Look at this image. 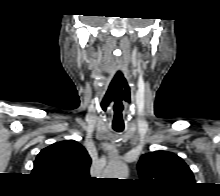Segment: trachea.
<instances>
[{
  "mask_svg": "<svg viewBox=\"0 0 220 196\" xmlns=\"http://www.w3.org/2000/svg\"><path fill=\"white\" fill-rule=\"evenodd\" d=\"M117 132H122L124 128H113Z\"/></svg>",
  "mask_w": 220,
  "mask_h": 196,
  "instance_id": "3493384b",
  "label": "trachea"
}]
</instances>
